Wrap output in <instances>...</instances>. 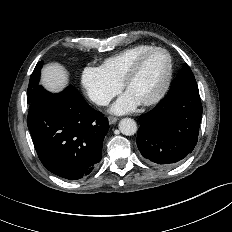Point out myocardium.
I'll use <instances>...</instances> for the list:
<instances>
[{
  "label": "myocardium",
  "mask_w": 232,
  "mask_h": 232,
  "mask_svg": "<svg viewBox=\"0 0 232 232\" xmlns=\"http://www.w3.org/2000/svg\"><path fill=\"white\" fill-rule=\"evenodd\" d=\"M156 51L164 52L167 56V59H168L167 74H166L165 80H164L163 85L161 86L160 90L152 98L141 102V105H143V106L154 105V104L160 102L164 98V96L166 95V93L170 87L172 77H173V59H172L170 52L167 49H165L163 47H158V46H153V47L143 51L134 59V61L130 65L129 69L127 70V72L122 80V83H121L122 88L124 90H127L128 85L134 79V77L137 75L144 59L148 55H150L151 53L156 52Z\"/></svg>",
  "instance_id": "myocardium-1"
}]
</instances>
